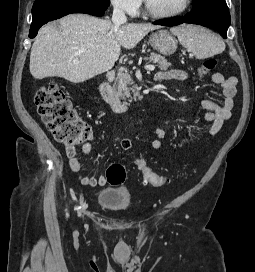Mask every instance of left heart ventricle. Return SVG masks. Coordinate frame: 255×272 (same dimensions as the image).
Instances as JSON below:
<instances>
[{"label":"left heart ventricle","mask_w":255,"mask_h":272,"mask_svg":"<svg viewBox=\"0 0 255 272\" xmlns=\"http://www.w3.org/2000/svg\"><path fill=\"white\" fill-rule=\"evenodd\" d=\"M185 0H148L149 6L156 12H172L180 9Z\"/></svg>","instance_id":"b2bd125f"}]
</instances>
